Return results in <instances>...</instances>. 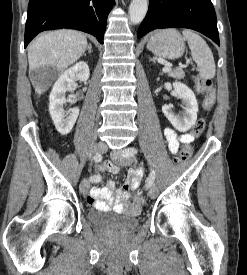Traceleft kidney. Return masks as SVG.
I'll list each match as a JSON object with an SVG mask.
<instances>
[{
	"mask_svg": "<svg viewBox=\"0 0 247 275\" xmlns=\"http://www.w3.org/2000/svg\"><path fill=\"white\" fill-rule=\"evenodd\" d=\"M173 88L178 98L183 101L182 115L175 114L170 105H164L162 112L169 122L180 132L188 131L197 120L198 104L193 91L180 82L173 83Z\"/></svg>",
	"mask_w": 247,
	"mask_h": 275,
	"instance_id": "5707ae66",
	"label": "left kidney"
}]
</instances>
